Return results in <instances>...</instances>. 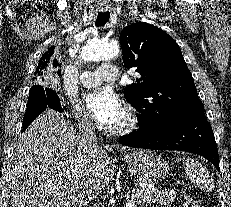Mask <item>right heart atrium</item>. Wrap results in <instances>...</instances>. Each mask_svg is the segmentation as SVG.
<instances>
[{"label": "right heart atrium", "instance_id": "d8ad5b80", "mask_svg": "<svg viewBox=\"0 0 231 207\" xmlns=\"http://www.w3.org/2000/svg\"><path fill=\"white\" fill-rule=\"evenodd\" d=\"M71 107L81 128L91 130L95 127L94 122L91 120V118L84 109L74 103H71Z\"/></svg>", "mask_w": 231, "mask_h": 207}]
</instances>
